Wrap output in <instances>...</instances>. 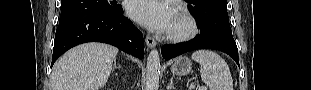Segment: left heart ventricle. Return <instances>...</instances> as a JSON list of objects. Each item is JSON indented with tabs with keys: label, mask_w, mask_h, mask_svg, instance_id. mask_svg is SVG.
<instances>
[{
	"label": "left heart ventricle",
	"mask_w": 311,
	"mask_h": 90,
	"mask_svg": "<svg viewBox=\"0 0 311 90\" xmlns=\"http://www.w3.org/2000/svg\"><path fill=\"white\" fill-rule=\"evenodd\" d=\"M182 28V24L179 20V18L177 17L176 14H174V17H173V20H172V23H171V26L169 28V32L171 31H177V30H180Z\"/></svg>",
	"instance_id": "b2bd125f"
}]
</instances>
